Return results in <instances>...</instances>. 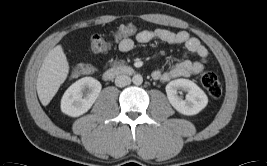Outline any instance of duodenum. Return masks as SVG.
<instances>
[{"instance_id": "obj_1", "label": "duodenum", "mask_w": 267, "mask_h": 166, "mask_svg": "<svg viewBox=\"0 0 267 166\" xmlns=\"http://www.w3.org/2000/svg\"><path fill=\"white\" fill-rule=\"evenodd\" d=\"M134 74V69L133 67L129 65H124V64H119L112 66L108 69H106L103 72V78L104 80H110L114 77L120 76V75H125V76H130Z\"/></svg>"}]
</instances>
